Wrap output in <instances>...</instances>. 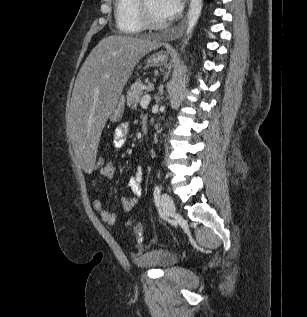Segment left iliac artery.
I'll use <instances>...</instances> for the list:
<instances>
[{
  "instance_id": "left-iliac-artery-1",
  "label": "left iliac artery",
  "mask_w": 307,
  "mask_h": 317,
  "mask_svg": "<svg viewBox=\"0 0 307 317\" xmlns=\"http://www.w3.org/2000/svg\"><path fill=\"white\" fill-rule=\"evenodd\" d=\"M160 192L161 188L158 184H156L154 187V202L156 205H159L160 203Z\"/></svg>"
}]
</instances>
